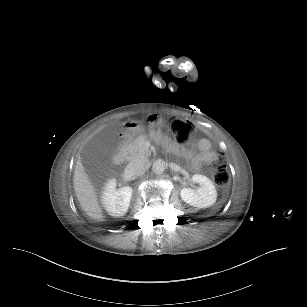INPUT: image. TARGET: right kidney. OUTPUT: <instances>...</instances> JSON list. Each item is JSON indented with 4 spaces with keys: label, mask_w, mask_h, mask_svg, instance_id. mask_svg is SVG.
<instances>
[{
    "label": "right kidney",
    "mask_w": 307,
    "mask_h": 307,
    "mask_svg": "<svg viewBox=\"0 0 307 307\" xmlns=\"http://www.w3.org/2000/svg\"><path fill=\"white\" fill-rule=\"evenodd\" d=\"M116 179L109 180L102 192V204L107 213L113 217H121L128 211L132 197V187L124 186L116 189Z\"/></svg>",
    "instance_id": "obj_1"
}]
</instances>
